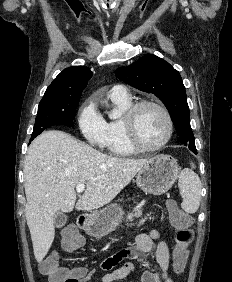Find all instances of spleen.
I'll use <instances>...</instances> for the list:
<instances>
[{
	"instance_id": "spleen-1",
	"label": "spleen",
	"mask_w": 232,
	"mask_h": 282,
	"mask_svg": "<svg viewBox=\"0 0 232 282\" xmlns=\"http://www.w3.org/2000/svg\"><path fill=\"white\" fill-rule=\"evenodd\" d=\"M194 168V164L191 163V169H183L178 179L180 195L183 199L181 207L185 212L190 214L198 210L201 200V181L193 171Z\"/></svg>"
}]
</instances>
